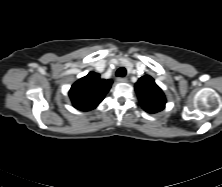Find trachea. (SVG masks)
<instances>
[{"label":"trachea","instance_id":"3493384b","mask_svg":"<svg viewBox=\"0 0 222 187\" xmlns=\"http://www.w3.org/2000/svg\"><path fill=\"white\" fill-rule=\"evenodd\" d=\"M125 75H126V69L124 67H120L116 72L117 77H124Z\"/></svg>","mask_w":222,"mask_h":187}]
</instances>
